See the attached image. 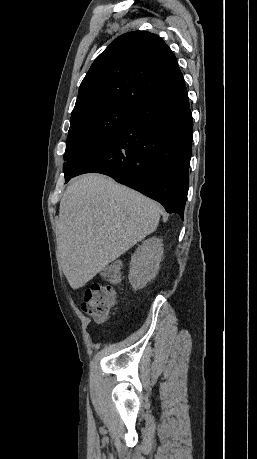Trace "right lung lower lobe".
<instances>
[{"instance_id":"98d812e1","label":"right lung lower lobe","mask_w":257,"mask_h":459,"mask_svg":"<svg viewBox=\"0 0 257 459\" xmlns=\"http://www.w3.org/2000/svg\"><path fill=\"white\" fill-rule=\"evenodd\" d=\"M192 133V114L182 78L135 108L127 125L65 181L83 173H102L183 219Z\"/></svg>"}]
</instances>
